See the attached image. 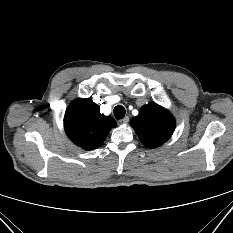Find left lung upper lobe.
<instances>
[{
  "label": "left lung upper lobe",
  "instance_id": "5c2ea615",
  "mask_svg": "<svg viewBox=\"0 0 233 233\" xmlns=\"http://www.w3.org/2000/svg\"><path fill=\"white\" fill-rule=\"evenodd\" d=\"M130 123L140 140L149 148L165 143L175 128L173 116L156 103L144 105Z\"/></svg>",
  "mask_w": 233,
  "mask_h": 233
}]
</instances>
